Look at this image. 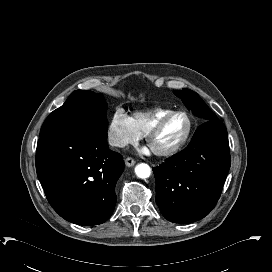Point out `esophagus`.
<instances>
[{
	"label": "esophagus",
	"instance_id": "34e87169",
	"mask_svg": "<svg viewBox=\"0 0 272 272\" xmlns=\"http://www.w3.org/2000/svg\"><path fill=\"white\" fill-rule=\"evenodd\" d=\"M134 164H135V160L134 159H132L130 157H128V158L125 159V165L127 167H132V166H134Z\"/></svg>",
	"mask_w": 272,
	"mask_h": 272
}]
</instances>
